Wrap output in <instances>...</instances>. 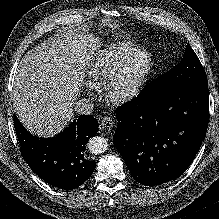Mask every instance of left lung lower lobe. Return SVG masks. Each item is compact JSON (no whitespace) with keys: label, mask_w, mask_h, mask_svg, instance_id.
Returning <instances> with one entry per match:
<instances>
[{"label":"left lung lower lobe","mask_w":219,"mask_h":219,"mask_svg":"<svg viewBox=\"0 0 219 219\" xmlns=\"http://www.w3.org/2000/svg\"><path fill=\"white\" fill-rule=\"evenodd\" d=\"M113 143L134 179L156 186L182 175L205 139L208 85L175 89L155 99L135 98L116 109Z\"/></svg>","instance_id":"1"}]
</instances>
